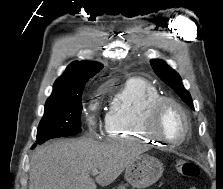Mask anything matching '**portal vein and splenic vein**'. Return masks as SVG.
Returning <instances> with one entry per match:
<instances>
[{"instance_id": "1", "label": "portal vein and splenic vein", "mask_w": 223, "mask_h": 189, "mask_svg": "<svg viewBox=\"0 0 223 189\" xmlns=\"http://www.w3.org/2000/svg\"><path fill=\"white\" fill-rule=\"evenodd\" d=\"M98 173H99L98 170H93L91 174H92L93 176H96Z\"/></svg>"}]
</instances>
